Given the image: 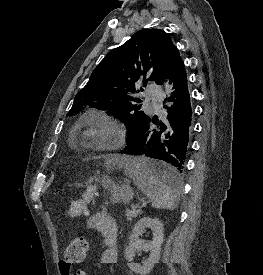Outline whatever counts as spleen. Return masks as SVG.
I'll return each mask as SVG.
<instances>
[{"mask_svg": "<svg viewBox=\"0 0 263 275\" xmlns=\"http://www.w3.org/2000/svg\"><path fill=\"white\" fill-rule=\"evenodd\" d=\"M121 165L126 175L151 200L153 208L174 210L178 207L180 181L175 184L164 182L152 174L153 163L144 157L123 158Z\"/></svg>", "mask_w": 263, "mask_h": 275, "instance_id": "3e777b00", "label": "spleen"}]
</instances>
